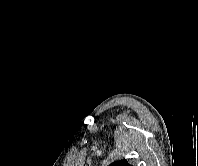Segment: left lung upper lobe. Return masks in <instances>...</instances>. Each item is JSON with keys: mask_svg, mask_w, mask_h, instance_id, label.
<instances>
[{"mask_svg": "<svg viewBox=\"0 0 198 166\" xmlns=\"http://www.w3.org/2000/svg\"><path fill=\"white\" fill-rule=\"evenodd\" d=\"M109 166H131L125 159L112 163Z\"/></svg>", "mask_w": 198, "mask_h": 166, "instance_id": "5c2ea615", "label": "left lung upper lobe"}]
</instances>
